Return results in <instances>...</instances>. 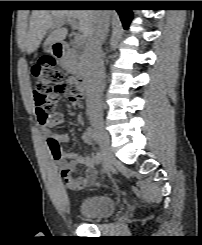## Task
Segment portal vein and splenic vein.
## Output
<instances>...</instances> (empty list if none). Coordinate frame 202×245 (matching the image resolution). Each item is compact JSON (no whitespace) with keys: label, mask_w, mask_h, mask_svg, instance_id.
Listing matches in <instances>:
<instances>
[{"label":"portal vein and splenic vein","mask_w":202,"mask_h":245,"mask_svg":"<svg viewBox=\"0 0 202 245\" xmlns=\"http://www.w3.org/2000/svg\"><path fill=\"white\" fill-rule=\"evenodd\" d=\"M65 23H69L72 26L73 29H77L78 24H77V21L74 20V19H67L65 21L57 22L56 26H61V25L65 24ZM83 40H84L83 35H81V34H76L75 35L74 41H75L76 44H78V45L82 44Z\"/></svg>","instance_id":"obj_1"}]
</instances>
